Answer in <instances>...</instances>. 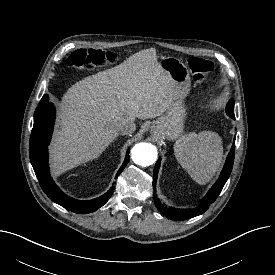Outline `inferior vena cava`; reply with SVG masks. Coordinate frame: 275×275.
Here are the masks:
<instances>
[{
    "label": "inferior vena cava",
    "instance_id": "inferior-vena-cava-1",
    "mask_svg": "<svg viewBox=\"0 0 275 275\" xmlns=\"http://www.w3.org/2000/svg\"><path fill=\"white\" fill-rule=\"evenodd\" d=\"M116 129L119 134L128 135V134H132L135 131L136 125L133 121L122 120L117 123Z\"/></svg>",
    "mask_w": 275,
    "mask_h": 275
}]
</instances>
